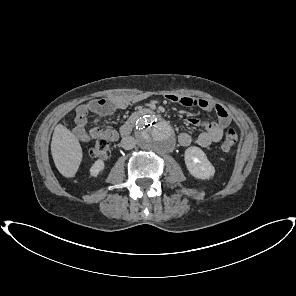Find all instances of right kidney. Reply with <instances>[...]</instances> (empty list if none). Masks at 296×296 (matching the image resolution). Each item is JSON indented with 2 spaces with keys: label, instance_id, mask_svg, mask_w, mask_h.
<instances>
[{
  "label": "right kidney",
  "instance_id": "ca27d5eb",
  "mask_svg": "<svg viewBox=\"0 0 296 296\" xmlns=\"http://www.w3.org/2000/svg\"><path fill=\"white\" fill-rule=\"evenodd\" d=\"M104 168V162L102 160H97L90 168V175L92 177H98V175L102 174Z\"/></svg>",
  "mask_w": 296,
  "mask_h": 296
}]
</instances>
